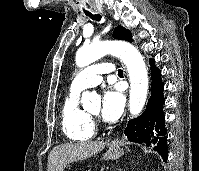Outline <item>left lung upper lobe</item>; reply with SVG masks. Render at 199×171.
<instances>
[{
	"label": "left lung upper lobe",
	"mask_w": 199,
	"mask_h": 171,
	"mask_svg": "<svg viewBox=\"0 0 199 171\" xmlns=\"http://www.w3.org/2000/svg\"><path fill=\"white\" fill-rule=\"evenodd\" d=\"M113 35L116 39L133 41L131 37V32L122 26H118L117 28H115Z\"/></svg>",
	"instance_id": "left-lung-upper-lobe-1"
}]
</instances>
